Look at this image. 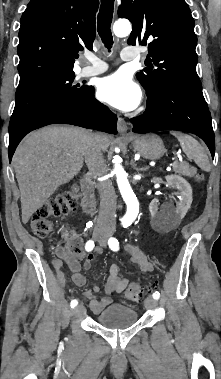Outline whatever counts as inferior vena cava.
Masks as SVG:
<instances>
[{"label":"inferior vena cava","instance_id":"602c4592","mask_svg":"<svg viewBox=\"0 0 221 379\" xmlns=\"http://www.w3.org/2000/svg\"><path fill=\"white\" fill-rule=\"evenodd\" d=\"M85 162L89 175L99 178L107 173L98 137L90 134L85 149ZM100 193V211L97 219L98 229L114 230L116 225V193L110 180L100 181L97 184Z\"/></svg>","mask_w":221,"mask_h":379}]
</instances>
